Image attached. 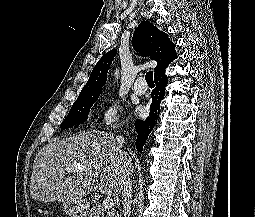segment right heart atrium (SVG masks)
<instances>
[{"mask_svg": "<svg viewBox=\"0 0 255 217\" xmlns=\"http://www.w3.org/2000/svg\"><path fill=\"white\" fill-rule=\"evenodd\" d=\"M122 107L117 101L106 102L98 114V122L101 128L116 129L120 124Z\"/></svg>", "mask_w": 255, "mask_h": 217, "instance_id": "d8ad5b80", "label": "right heart atrium"}]
</instances>
